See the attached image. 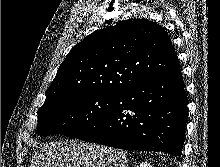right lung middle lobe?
Returning <instances> with one entry per match:
<instances>
[{
	"label": "right lung middle lobe",
	"instance_id": "dd1d6c3e",
	"mask_svg": "<svg viewBox=\"0 0 220 167\" xmlns=\"http://www.w3.org/2000/svg\"><path fill=\"white\" fill-rule=\"evenodd\" d=\"M117 94L82 90L45 101L38 111L37 131L43 136L57 133L77 138L104 117Z\"/></svg>",
	"mask_w": 220,
	"mask_h": 167
}]
</instances>
